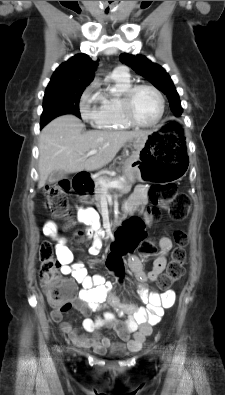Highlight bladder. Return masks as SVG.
<instances>
[{
	"mask_svg": "<svg viewBox=\"0 0 225 395\" xmlns=\"http://www.w3.org/2000/svg\"><path fill=\"white\" fill-rule=\"evenodd\" d=\"M124 352V349L121 346H114L111 350L112 354H121Z\"/></svg>",
	"mask_w": 225,
	"mask_h": 395,
	"instance_id": "obj_1",
	"label": "bladder"
}]
</instances>
